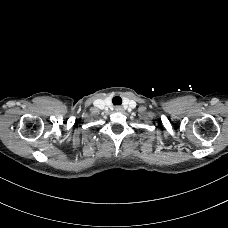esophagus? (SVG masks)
Here are the masks:
<instances>
[{
    "label": "esophagus",
    "instance_id": "obj_1",
    "mask_svg": "<svg viewBox=\"0 0 228 228\" xmlns=\"http://www.w3.org/2000/svg\"><path fill=\"white\" fill-rule=\"evenodd\" d=\"M115 110L118 111V112H120V111H122V107L121 106H116L115 107Z\"/></svg>",
    "mask_w": 228,
    "mask_h": 228
}]
</instances>
